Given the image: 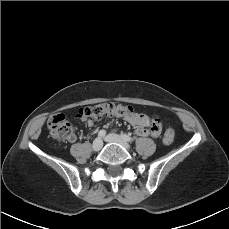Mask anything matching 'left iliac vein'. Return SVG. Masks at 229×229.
I'll return each instance as SVG.
<instances>
[{
    "label": "left iliac vein",
    "instance_id": "1",
    "mask_svg": "<svg viewBox=\"0 0 229 229\" xmlns=\"http://www.w3.org/2000/svg\"><path fill=\"white\" fill-rule=\"evenodd\" d=\"M104 140L108 143H118L122 145L125 149H130L129 143H127L117 134H108L107 136L104 137Z\"/></svg>",
    "mask_w": 229,
    "mask_h": 229
}]
</instances>
